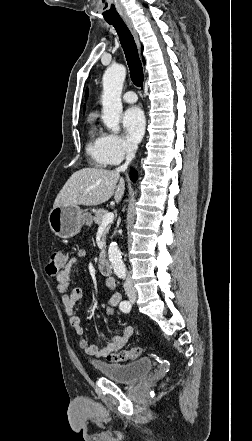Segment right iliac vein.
<instances>
[{
	"instance_id": "63e3f726",
	"label": "right iliac vein",
	"mask_w": 252,
	"mask_h": 441,
	"mask_svg": "<svg viewBox=\"0 0 252 441\" xmlns=\"http://www.w3.org/2000/svg\"><path fill=\"white\" fill-rule=\"evenodd\" d=\"M127 296L129 298V300L134 303L137 299V293L133 290H127Z\"/></svg>"
}]
</instances>
